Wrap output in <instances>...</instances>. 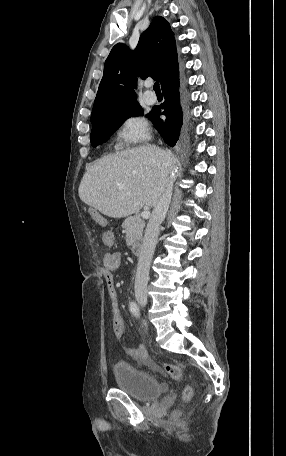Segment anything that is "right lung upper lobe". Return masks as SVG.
Returning <instances> with one entry per match:
<instances>
[{"label":"right lung upper lobe","instance_id":"right-lung-upper-lobe-1","mask_svg":"<svg viewBox=\"0 0 286 456\" xmlns=\"http://www.w3.org/2000/svg\"><path fill=\"white\" fill-rule=\"evenodd\" d=\"M137 76L158 79L162 88L179 77L174 34L161 16H156L141 34L134 51L123 43L112 48L105 61L91 121L112 109L138 103L134 91Z\"/></svg>","mask_w":286,"mask_h":456}]
</instances>
